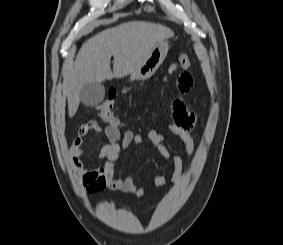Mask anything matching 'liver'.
<instances>
[{
  "mask_svg": "<svg viewBox=\"0 0 283 245\" xmlns=\"http://www.w3.org/2000/svg\"><path fill=\"white\" fill-rule=\"evenodd\" d=\"M173 34L171 29L160 24L131 21L106 29L85 41L64 89L69 116L76 114L80 90L86 83L127 76L145 61L159 42ZM111 56L114 57L113 72Z\"/></svg>",
  "mask_w": 283,
  "mask_h": 245,
  "instance_id": "6515ba94",
  "label": "liver"
}]
</instances>
